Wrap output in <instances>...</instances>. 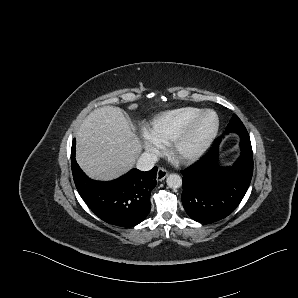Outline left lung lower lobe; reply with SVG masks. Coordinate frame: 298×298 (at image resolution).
<instances>
[{
	"instance_id": "left-lung-lower-lobe-1",
	"label": "left lung lower lobe",
	"mask_w": 298,
	"mask_h": 298,
	"mask_svg": "<svg viewBox=\"0 0 298 298\" xmlns=\"http://www.w3.org/2000/svg\"><path fill=\"white\" fill-rule=\"evenodd\" d=\"M240 136L241 155L231 167L218 165V138L209 152L182 172L181 200L187 214L209 224L231 214L243 199L253 174V153L246 128L226 133Z\"/></svg>"
}]
</instances>
